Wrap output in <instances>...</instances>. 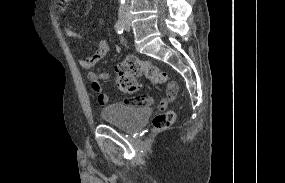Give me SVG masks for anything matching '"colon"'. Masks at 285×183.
Here are the masks:
<instances>
[{"instance_id": "5ec220e1", "label": "colon", "mask_w": 285, "mask_h": 183, "mask_svg": "<svg viewBox=\"0 0 285 183\" xmlns=\"http://www.w3.org/2000/svg\"><path fill=\"white\" fill-rule=\"evenodd\" d=\"M64 2V0H60ZM116 85L118 89L125 93H135L138 90L137 77L144 75L151 80L155 85H160L168 80L166 72L158 67L142 61L134 56H129L122 62L116 65ZM140 104H150L149 98H137L135 100ZM164 109V108H161ZM175 120V113L170 110H165L158 113L152 121L154 130L160 131L168 128Z\"/></svg>"}]
</instances>
